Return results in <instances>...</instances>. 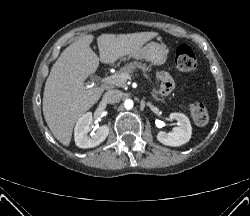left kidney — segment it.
I'll list each match as a JSON object with an SVG mask.
<instances>
[{"label": "left kidney", "mask_w": 250, "mask_h": 216, "mask_svg": "<svg viewBox=\"0 0 250 216\" xmlns=\"http://www.w3.org/2000/svg\"><path fill=\"white\" fill-rule=\"evenodd\" d=\"M170 120H176L178 127H174L169 133L160 131L157 140L164 145L177 147L187 143L192 135V127L188 117L182 113H171Z\"/></svg>", "instance_id": "5707ae66"}]
</instances>
